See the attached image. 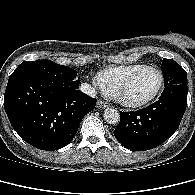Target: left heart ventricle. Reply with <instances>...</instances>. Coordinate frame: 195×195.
<instances>
[{
  "instance_id": "obj_1",
  "label": "left heart ventricle",
  "mask_w": 195,
  "mask_h": 195,
  "mask_svg": "<svg viewBox=\"0 0 195 195\" xmlns=\"http://www.w3.org/2000/svg\"><path fill=\"white\" fill-rule=\"evenodd\" d=\"M159 75L153 70H144L132 81L126 92L129 100H142L151 96L159 86Z\"/></svg>"
}]
</instances>
